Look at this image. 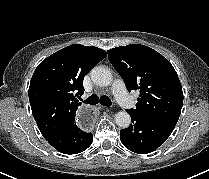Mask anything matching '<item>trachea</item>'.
<instances>
[{"label":"trachea","instance_id":"trachea-1","mask_svg":"<svg viewBox=\"0 0 209 179\" xmlns=\"http://www.w3.org/2000/svg\"><path fill=\"white\" fill-rule=\"evenodd\" d=\"M84 102L87 104H91V105H96V104H98V102H100L104 106H111L112 105L110 99H108L107 97L98 98L96 94H92Z\"/></svg>","mask_w":209,"mask_h":179}]
</instances>
